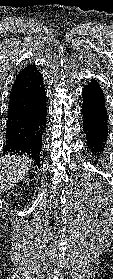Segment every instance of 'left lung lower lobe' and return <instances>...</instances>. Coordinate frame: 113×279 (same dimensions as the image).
Wrapping results in <instances>:
<instances>
[{
    "label": "left lung lower lobe",
    "mask_w": 113,
    "mask_h": 279,
    "mask_svg": "<svg viewBox=\"0 0 113 279\" xmlns=\"http://www.w3.org/2000/svg\"><path fill=\"white\" fill-rule=\"evenodd\" d=\"M82 114L84 116L83 130L87 145L96 156L102 153L108 134L107 111L103 91L96 80H92L83 89Z\"/></svg>",
    "instance_id": "obj_1"
}]
</instances>
